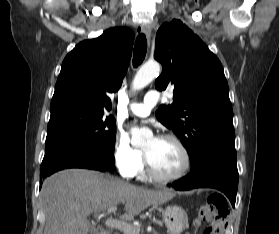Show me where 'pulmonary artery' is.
Segmentation results:
<instances>
[{
	"mask_svg": "<svg viewBox=\"0 0 279 234\" xmlns=\"http://www.w3.org/2000/svg\"><path fill=\"white\" fill-rule=\"evenodd\" d=\"M159 99L160 95L157 92L150 91L144 96L142 102H132L129 104L128 108L133 114L145 117L150 114L151 109L156 105Z\"/></svg>",
	"mask_w": 279,
	"mask_h": 234,
	"instance_id": "e3ab8cb5",
	"label": "pulmonary artery"
}]
</instances>
